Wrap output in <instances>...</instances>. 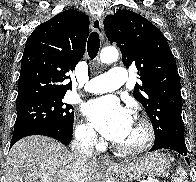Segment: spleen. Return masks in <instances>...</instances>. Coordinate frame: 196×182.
<instances>
[{
  "instance_id": "1",
  "label": "spleen",
  "mask_w": 196,
  "mask_h": 182,
  "mask_svg": "<svg viewBox=\"0 0 196 182\" xmlns=\"http://www.w3.org/2000/svg\"><path fill=\"white\" fill-rule=\"evenodd\" d=\"M172 182H189L186 171L179 166L176 172V176L173 178Z\"/></svg>"
}]
</instances>
